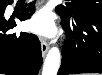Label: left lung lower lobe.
I'll use <instances>...</instances> for the list:
<instances>
[{"label": "left lung lower lobe", "instance_id": "1", "mask_svg": "<svg viewBox=\"0 0 102 75\" xmlns=\"http://www.w3.org/2000/svg\"><path fill=\"white\" fill-rule=\"evenodd\" d=\"M62 18L67 41L57 75L102 73V14Z\"/></svg>", "mask_w": 102, "mask_h": 75}]
</instances>
